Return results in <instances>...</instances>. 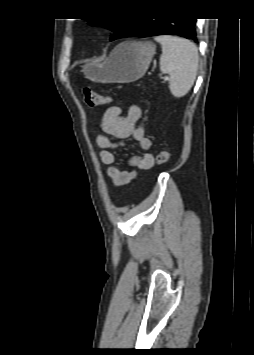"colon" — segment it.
Instances as JSON below:
<instances>
[{
	"label": "colon",
	"instance_id": "obj_1",
	"mask_svg": "<svg viewBox=\"0 0 254 355\" xmlns=\"http://www.w3.org/2000/svg\"><path fill=\"white\" fill-rule=\"evenodd\" d=\"M84 99L89 107L103 106L111 102V98L108 95L98 93L90 88L84 90ZM168 159V152L161 150L157 153L156 164L159 166L165 165L168 162Z\"/></svg>",
	"mask_w": 254,
	"mask_h": 355
}]
</instances>
